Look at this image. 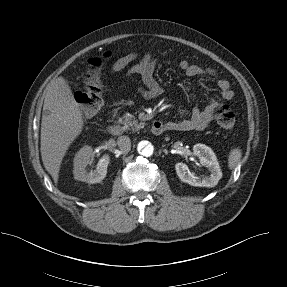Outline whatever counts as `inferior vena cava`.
Returning a JSON list of instances; mask_svg holds the SVG:
<instances>
[{
    "label": "inferior vena cava",
    "instance_id": "inferior-vena-cava-1",
    "mask_svg": "<svg viewBox=\"0 0 287 287\" xmlns=\"http://www.w3.org/2000/svg\"><path fill=\"white\" fill-rule=\"evenodd\" d=\"M117 144L120 150L128 152L131 149V140L128 136H120L117 139Z\"/></svg>",
    "mask_w": 287,
    "mask_h": 287
}]
</instances>
